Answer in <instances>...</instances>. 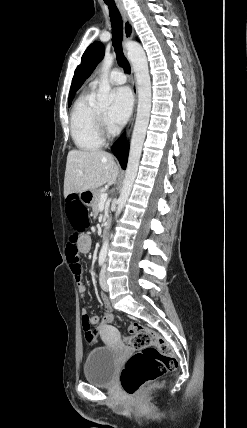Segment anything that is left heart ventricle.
<instances>
[{
  "mask_svg": "<svg viewBox=\"0 0 247 428\" xmlns=\"http://www.w3.org/2000/svg\"><path fill=\"white\" fill-rule=\"evenodd\" d=\"M103 116H105L106 114V109H99L98 110Z\"/></svg>",
  "mask_w": 247,
  "mask_h": 428,
  "instance_id": "left-heart-ventricle-1",
  "label": "left heart ventricle"
}]
</instances>
